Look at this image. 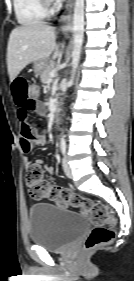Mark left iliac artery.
<instances>
[{"label":"left iliac artery","instance_id":"1","mask_svg":"<svg viewBox=\"0 0 134 281\" xmlns=\"http://www.w3.org/2000/svg\"><path fill=\"white\" fill-rule=\"evenodd\" d=\"M60 147H61V151L63 153V155H65L66 153V141L64 138L61 139L60 141Z\"/></svg>","mask_w":134,"mask_h":281}]
</instances>
